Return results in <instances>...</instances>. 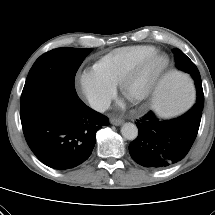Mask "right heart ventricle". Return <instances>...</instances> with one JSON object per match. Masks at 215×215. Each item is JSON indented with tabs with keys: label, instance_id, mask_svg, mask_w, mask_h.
Wrapping results in <instances>:
<instances>
[{
	"label": "right heart ventricle",
	"instance_id": "1",
	"mask_svg": "<svg viewBox=\"0 0 215 215\" xmlns=\"http://www.w3.org/2000/svg\"><path fill=\"white\" fill-rule=\"evenodd\" d=\"M155 51L150 45L120 47L102 56L94 68L117 85L134 64Z\"/></svg>",
	"mask_w": 215,
	"mask_h": 215
}]
</instances>
